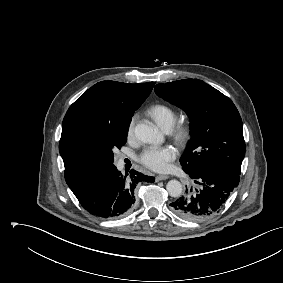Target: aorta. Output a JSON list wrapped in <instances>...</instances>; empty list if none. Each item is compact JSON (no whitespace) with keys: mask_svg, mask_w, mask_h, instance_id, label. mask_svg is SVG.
<instances>
[{"mask_svg":"<svg viewBox=\"0 0 283 283\" xmlns=\"http://www.w3.org/2000/svg\"><path fill=\"white\" fill-rule=\"evenodd\" d=\"M135 136L138 140L149 144H161L163 135L156 126L150 123H139L134 129ZM166 189L171 197H179L182 194V184L178 180H170Z\"/></svg>","mask_w":283,"mask_h":283,"instance_id":"1","label":"aorta"}]
</instances>
